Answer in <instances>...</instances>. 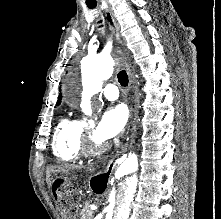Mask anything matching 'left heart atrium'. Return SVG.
I'll return each instance as SVG.
<instances>
[{"label":"left heart atrium","mask_w":221,"mask_h":219,"mask_svg":"<svg viewBox=\"0 0 221 219\" xmlns=\"http://www.w3.org/2000/svg\"><path fill=\"white\" fill-rule=\"evenodd\" d=\"M128 121V110L124 105L108 108L102 115L95 136L101 141H108L118 136Z\"/></svg>","instance_id":"left-heart-atrium-1"}]
</instances>
